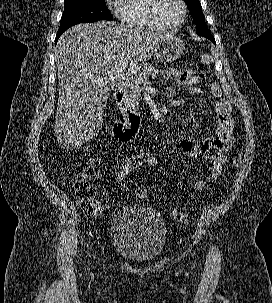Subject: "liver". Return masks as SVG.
Wrapping results in <instances>:
<instances>
[{
    "label": "liver",
    "mask_w": 272,
    "mask_h": 303,
    "mask_svg": "<svg viewBox=\"0 0 272 303\" xmlns=\"http://www.w3.org/2000/svg\"><path fill=\"white\" fill-rule=\"evenodd\" d=\"M170 35L115 21L78 24L63 33L56 46L59 93L54 130L65 148L81 146L100 130L110 75L145 69Z\"/></svg>",
    "instance_id": "6515ba94"
}]
</instances>
